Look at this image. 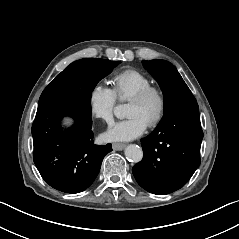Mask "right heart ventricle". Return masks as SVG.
Returning a JSON list of instances; mask_svg holds the SVG:
<instances>
[{
    "instance_id": "obj_1",
    "label": "right heart ventricle",
    "mask_w": 239,
    "mask_h": 239,
    "mask_svg": "<svg viewBox=\"0 0 239 239\" xmlns=\"http://www.w3.org/2000/svg\"><path fill=\"white\" fill-rule=\"evenodd\" d=\"M113 89L120 100L130 99L137 91L151 84V79L137 69H126L111 77Z\"/></svg>"
}]
</instances>
